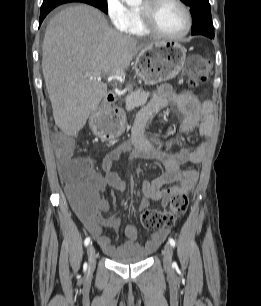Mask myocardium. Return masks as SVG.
Returning a JSON list of instances; mask_svg holds the SVG:
<instances>
[{
    "mask_svg": "<svg viewBox=\"0 0 261 306\" xmlns=\"http://www.w3.org/2000/svg\"><path fill=\"white\" fill-rule=\"evenodd\" d=\"M164 0H144L143 3L138 7L139 14L145 28L153 35L168 39V40H179L184 38L191 30L192 27V16L188 6L182 0H170L177 4L184 13L185 16V28L184 30L176 35H170L162 32L155 23V10L157 6Z\"/></svg>",
    "mask_w": 261,
    "mask_h": 306,
    "instance_id": "1",
    "label": "myocardium"
}]
</instances>
